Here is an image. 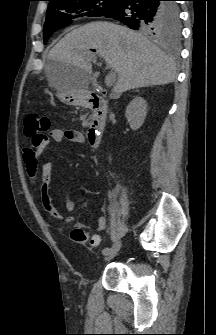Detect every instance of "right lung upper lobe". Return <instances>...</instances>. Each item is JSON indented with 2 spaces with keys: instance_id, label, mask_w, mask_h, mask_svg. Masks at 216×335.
Instances as JSON below:
<instances>
[{
  "instance_id": "1",
  "label": "right lung upper lobe",
  "mask_w": 216,
  "mask_h": 335,
  "mask_svg": "<svg viewBox=\"0 0 216 335\" xmlns=\"http://www.w3.org/2000/svg\"><path fill=\"white\" fill-rule=\"evenodd\" d=\"M47 1H49V4L52 2V1H54V0H47Z\"/></svg>"
}]
</instances>
